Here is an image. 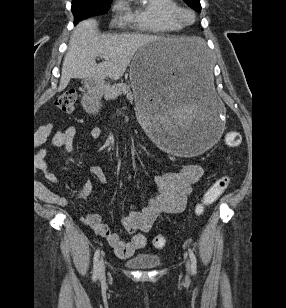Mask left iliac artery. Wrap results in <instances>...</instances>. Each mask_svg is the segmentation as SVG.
Instances as JSON below:
<instances>
[{"label": "left iliac artery", "mask_w": 286, "mask_h": 308, "mask_svg": "<svg viewBox=\"0 0 286 308\" xmlns=\"http://www.w3.org/2000/svg\"><path fill=\"white\" fill-rule=\"evenodd\" d=\"M188 252H189L190 259H191V269H192V272L195 273L197 270V259L192 249L189 248Z\"/></svg>", "instance_id": "obj_1"}]
</instances>
